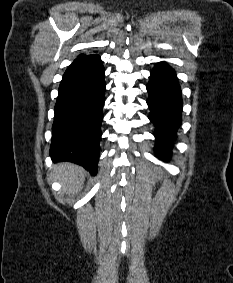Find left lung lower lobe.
Segmentation results:
<instances>
[{
    "label": "left lung lower lobe",
    "instance_id": "1",
    "mask_svg": "<svg viewBox=\"0 0 233 283\" xmlns=\"http://www.w3.org/2000/svg\"><path fill=\"white\" fill-rule=\"evenodd\" d=\"M147 91L149 119L156 127L155 152L159 159L165 160L170 157V146L181 124V90L175 71L165 62L157 63L150 73Z\"/></svg>",
    "mask_w": 233,
    "mask_h": 283
}]
</instances>
